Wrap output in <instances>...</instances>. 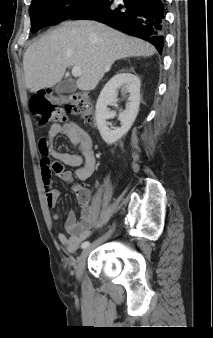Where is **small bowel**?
<instances>
[{
  "label": "small bowel",
  "mask_w": 213,
  "mask_h": 338,
  "mask_svg": "<svg viewBox=\"0 0 213 338\" xmlns=\"http://www.w3.org/2000/svg\"><path fill=\"white\" fill-rule=\"evenodd\" d=\"M60 134L65 135L73 145L77 146L79 153L70 154L54 149L52 141ZM37 146L41 153L40 169L45 202L50 209H53L57 206L60 197V191L54 184V178L71 184L74 175L79 181H84L94 172L96 159L93 140L84 129L69 121L64 124H52L48 129L47 136L38 139ZM64 165L75 167L74 175L71 171L65 170ZM73 190L82 207L81 216L76 219L73 214H69L65 224L66 233L58 235L59 242L69 254L77 252L93 230L92 191L80 184H75ZM52 219L58 221V213H54Z\"/></svg>",
  "instance_id": "1"
}]
</instances>
